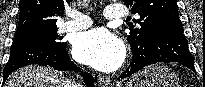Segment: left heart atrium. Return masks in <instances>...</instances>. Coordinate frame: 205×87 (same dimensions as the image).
<instances>
[{
  "mask_svg": "<svg viewBox=\"0 0 205 87\" xmlns=\"http://www.w3.org/2000/svg\"><path fill=\"white\" fill-rule=\"evenodd\" d=\"M73 54L76 60L97 70L113 71L122 64L125 48L111 32L96 28L77 36Z\"/></svg>",
  "mask_w": 205,
  "mask_h": 87,
  "instance_id": "39dd6f15",
  "label": "left heart atrium"
}]
</instances>
